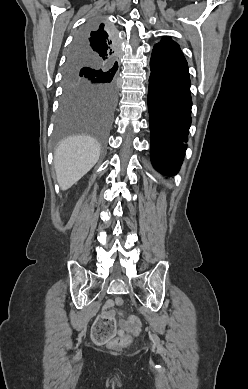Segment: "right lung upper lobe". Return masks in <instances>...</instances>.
Listing matches in <instances>:
<instances>
[{"label":"right lung upper lobe","instance_id":"right-lung-upper-lobe-1","mask_svg":"<svg viewBox=\"0 0 248 389\" xmlns=\"http://www.w3.org/2000/svg\"><path fill=\"white\" fill-rule=\"evenodd\" d=\"M76 43H80L84 51H86L92 57L100 59L117 69V58L119 55L118 45L113 47L110 42V36L107 31V27L101 24L96 30L88 32L81 40Z\"/></svg>","mask_w":248,"mask_h":389}]
</instances>
